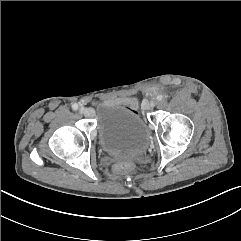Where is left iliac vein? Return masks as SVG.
<instances>
[{
	"instance_id": "1",
	"label": "left iliac vein",
	"mask_w": 241,
	"mask_h": 241,
	"mask_svg": "<svg viewBox=\"0 0 241 241\" xmlns=\"http://www.w3.org/2000/svg\"><path fill=\"white\" fill-rule=\"evenodd\" d=\"M155 105H156V101L151 100L150 102H145L143 106H144V109L149 110V109L155 107Z\"/></svg>"
}]
</instances>
